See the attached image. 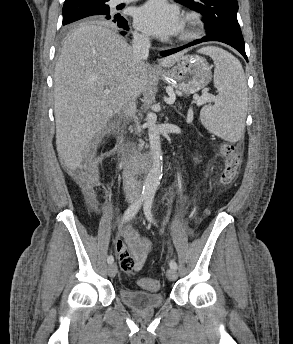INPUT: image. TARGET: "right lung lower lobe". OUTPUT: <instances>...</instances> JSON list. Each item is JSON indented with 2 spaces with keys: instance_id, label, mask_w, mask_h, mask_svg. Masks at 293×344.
Returning a JSON list of instances; mask_svg holds the SVG:
<instances>
[{
  "instance_id": "obj_1",
  "label": "right lung lower lobe",
  "mask_w": 293,
  "mask_h": 344,
  "mask_svg": "<svg viewBox=\"0 0 293 344\" xmlns=\"http://www.w3.org/2000/svg\"><path fill=\"white\" fill-rule=\"evenodd\" d=\"M93 20H110L111 22L115 23L118 27L123 28L125 30H128V26H127V21L125 20V18L121 15H115V16H111L110 14L107 15H97L93 17ZM122 35H125L127 32H120Z\"/></svg>"
}]
</instances>
